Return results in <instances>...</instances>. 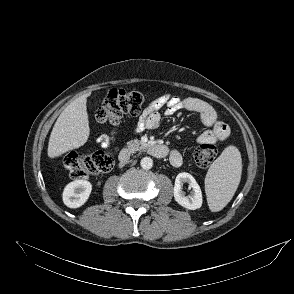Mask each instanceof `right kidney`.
Returning <instances> with one entry per match:
<instances>
[{"label": "right kidney", "instance_id": "1", "mask_svg": "<svg viewBox=\"0 0 294 294\" xmlns=\"http://www.w3.org/2000/svg\"><path fill=\"white\" fill-rule=\"evenodd\" d=\"M91 190L92 185L87 180L72 181L64 188L63 202L69 208H78L88 200Z\"/></svg>", "mask_w": 294, "mask_h": 294}]
</instances>
